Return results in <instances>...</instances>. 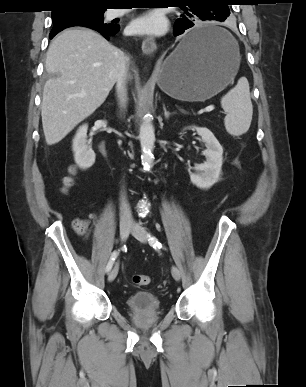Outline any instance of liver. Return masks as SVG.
<instances>
[{
	"label": "liver",
	"instance_id": "1",
	"mask_svg": "<svg viewBox=\"0 0 306 387\" xmlns=\"http://www.w3.org/2000/svg\"><path fill=\"white\" fill-rule=\"evenodd\" d=\"M124 53L96 31L67 29L49 45L42 125L48 145L60 142L106 100L122 69Z\"/></svg>",
	"mask_w": 306,
	"mask_h": 387
}]
</instances>
